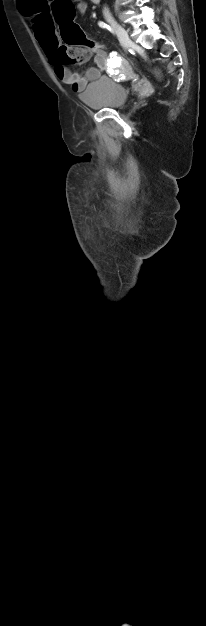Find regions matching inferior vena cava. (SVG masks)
<instances>
[{
	"label": "inferior vena cava",
	"instance_id": "inferior-vena-cava-1",
	"mask_svg": "<svg viewBox=\"0 0 206 626\" xmlns=\"http://www.w3.org/2000/svg\"><path fill=\"white\" fill-rule=\"evenodd\" d=\"M104 14H105V15H109V11H108V9H106V8H105V10H104Z\"/></svg>",
	"mask_w": 206,
	"mask_h": 626
}]
</instances>
